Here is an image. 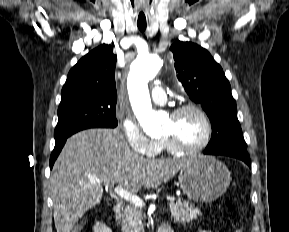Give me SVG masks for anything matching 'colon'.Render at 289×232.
<instances>
[{"instance_id":"1","label":"colon","mask_w":289,"mask_h":232,"mask_svg":"<svg viewBox=\"0 0 289 232\" xmlns=\"http://www.w3.org/2000/svg\"><path fill=\"white\" fill-rule=\"evenodd\" d=\"M232 225L234 227V232H243V230L239 227L236 221H233ZM81 231H82V226L78 224L72 229L71 232H81Z\"/></svg>"}]
</instances>
